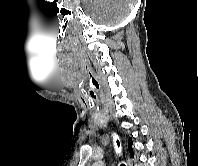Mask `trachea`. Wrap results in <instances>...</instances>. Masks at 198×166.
I'll return each mask as SVG.
<instances>
[{"instance_id":"trachea-1","label":"trachea","mask_w":198,"mask_h":166,"mask_svg":"<svg viewBox=\"0 0 198 166\" xmlns=\"http://www.w3.org/2000/svg\"><path fill=\"white\" fill-rule=\"evenodd\" d=\"M117 144H118V146H119V141H117ZM121 166H125L124 164H121Z\"/></svg>"}]
</instances>
